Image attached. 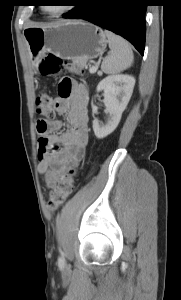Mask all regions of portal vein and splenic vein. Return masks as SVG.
<instances>
[{"mask_svg":"<svg viewBox=\"0 0 181 300\" xmlns=\"http://www.w3.org/2000/svg\"><path fill=\"white\" fill-rule=\"evenodd\" d=\"M97 69H98V65H95V66H93V67H91V68L89 69V72H90L91 74H94V73H96Z\"/></svg>","mask_w":181,"mask_h":300,"instance_id":"portal-vein-and-splenic-vein-1","label":"portal vein and splenic vein"}]
</instances>
